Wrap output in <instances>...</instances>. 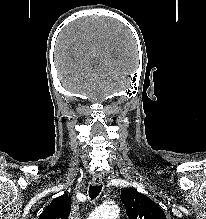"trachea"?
<instances>
[{"instance_id": "obj_1", "label": "trachea", "mask_w": 206, "mask_h": 219, "mask_svg": "<svg viewBox=\"0 0 206 219\" xmlns=\"http://www.w3.org/2000/svg\"><path fill=\"white\" fill-rule=\"evenodd\" d=\"M102 185H91L89 187V196L93 200L95 199L101 192Z\"/></svg>"}]
</instances>
